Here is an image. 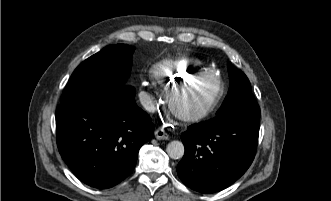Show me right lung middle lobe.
<instances>
[{
	"label": "right lung middle lobe",
	"mask_w": 331,
	"mask_h": 201,
	"mask_svg": "<svg viewBox=\"0 0 331 201\" xmlns=\"http://www.w3.org/2000/svg\"><path fill=\"white\" fill-rule=\"evenodd\" d=\"M133 51L126 44L109 45L83 61L71 75L61 104L98 90L128 85Z\"/></svg>",
	"instance_id": "right-lung-middle-lobe-1"
}]
</instances>
